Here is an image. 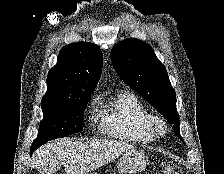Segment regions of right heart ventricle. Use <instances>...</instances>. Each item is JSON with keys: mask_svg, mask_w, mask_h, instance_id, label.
<instances>
[{"mask_svg": "<svg viewBox=\"0 0 224 174\" xmlns=\"http://www.w3.org/2000/svg\"><path fill=\"white\" fill-rule=\"evenodd\" d=\"M148 110L130 92H118L102 101L100 110V129L108 137L133 142L149 143L154 136L145 126Z\"/></svg>", "mask_w": 224, "mask_h": 174, "instance_id": "obj_1", "label": "right heart ventricle"}]
</instances>
